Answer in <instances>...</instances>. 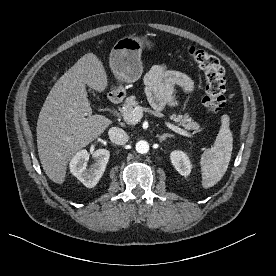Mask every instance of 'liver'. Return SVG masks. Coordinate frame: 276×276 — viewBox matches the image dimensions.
Returning <instances> with one entry per match:
<instances>
[{
	"instance_id": "6515ba94",
	"label": "liver",
	"mask_w": 276,
	"mask_h": 276,
	"mask_svg": "<svg viewBox=\"0 0 276 276\" xmlns=\"http://www.w3.org/2000/svg\"><path fill=\"white\" fill-rule=\"evenodd\" d=\"M86 85L103 92L108 78L103 63L93 53L82 56L52 87L37 121V147L46 175L65 181L71 157L100 136L112 121L92 113Z\"/></svg>"
}]
</instances>
